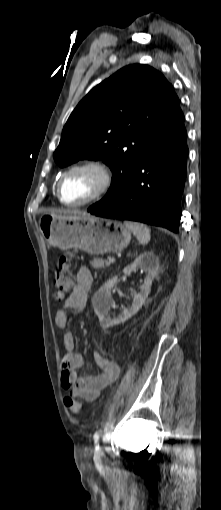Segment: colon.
I'll return each mask as SVG.
<instances>
[{"label": "colon", "mask_w": 221, "mask_h": 510, "mask_svg": "<svg viewBox=\"0 0 221 510\" xmlns=\"http://www.w3.org/2000/svg\"><path fill=\"white\" fill-rule=\"evenodd\" d=\"M74 278L71 270V255L61 256L54 265V287L57 291V299L61 300L72 289ZM65 405L74 413L82 410V401L68 396L65 398Z\"/></svg>", "instance_id": "colon-1"}]
</instances>
